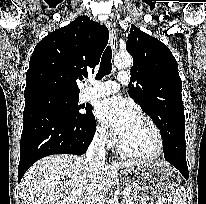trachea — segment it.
I'll return each mask as SVG.
<instances>
[{"label":"trachea","instance_id":"trachea-1","mask_svg":"<svg viewBox=\"0 0 206 204\" xmlns=\"http://www.w3.org/2000/svg\"><path fill=\"white\" fill-rule=\"evenodd\" d=\"M111 59H112V49L110 46H108L105 49L102 55V58H101L100 68L96 75L97 80L111 73V70H112Z\"/></svg>","mask_w":206,"mask_h":204}]
</instances>
